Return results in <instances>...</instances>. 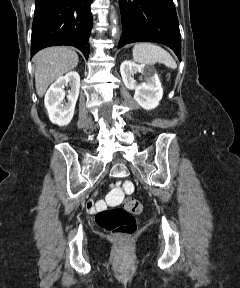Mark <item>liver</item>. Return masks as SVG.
Wrapping results in <instances>:
<instances>
[{
	"mask_svg": "<svg viewBox=\"0 0 240 288\" xmlns=\"http://www.w3.org/2000/svg\"><path fill=\"white\" fill-rule=\"evenodd\" d=\"M78 61L77 53L69 47H49L39 51L33 57L38 96L42 97L51 83L73 70Z\"/></svg>",
	"mask_w": 240,
	"mask_h": 288,
	"instance_id": "obj_1",
	"label": "liver"
}]
</instances>
